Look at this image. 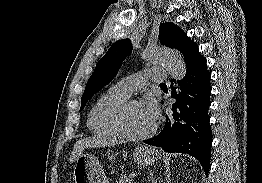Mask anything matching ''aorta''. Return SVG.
I'll list each match as a JSON object with an SVG mask.
<instances>
[{"label":"aorta","instance_id":"aorta-1","mask_svg":"<svg viewBox=\"0 0 262 183\" xmlns=\"http://www.w3.org/2000/svg\"><path fill=\"white\" fill-rule=\"evenodd\" d=\"M142 58L151 63L161 64L175 80H181L186 74V63L177 51L161 47H147Z\"/></svg>","mask_w":262,"mask_h":183}]
</instances>
